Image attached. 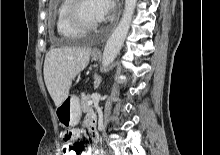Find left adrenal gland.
<instances>
[{"label":"left adrenal gland","mask_w":220,"mask_h":155,"mask_svg":"<svg viewBox=\"0 0 220 155\" xmlns=\"http://www.w3.org/2000/svg\"><path fill=\"white\" fill-rule=\"evenodd\" d=\"M101 83V77L95 76L94 88L97 89Z\"/></svg>","instance_id":"a2214340"}]
</instances>
